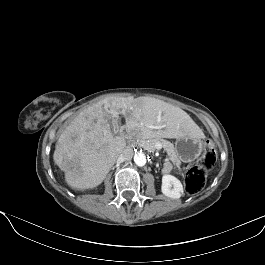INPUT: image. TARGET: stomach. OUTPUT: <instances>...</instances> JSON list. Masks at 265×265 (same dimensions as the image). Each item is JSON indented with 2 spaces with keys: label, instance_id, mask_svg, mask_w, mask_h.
<instances>
[{
  "label": "stomach",
  "instance_id": "stomach-1",
  "mask_svg": "<svg viewBox=\"0 0 265 265\" xmlns=\"http://www.w3.org/2000/svg\"><path fill=\"white\" fill-rule=\"evenodd\" d=\"M203 150L200 138L185 135L177 137L175 141V152L183 162H192L197 159Z\"/></svg>",
  "mask_w": 265,
  "mask_h": 265
}]
</instances>
